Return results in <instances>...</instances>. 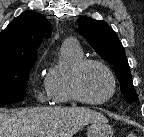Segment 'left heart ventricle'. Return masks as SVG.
<instances>
[{"mask_svg":"<svg viewBox=\"0 0 144 137\" xmlns=\"http://www.w3.org/2000/svg\"><path fill=\"white\" fill-rule=\"evenodd\" d=\"M83 94L91 100L106 97L111 91V81L106 72L97 65L88 66L81 76Z\"/></svg>","mask_w":144,"mask_h":137,"instance_id":"1","label":"left heart ventricle"}]
</instances>
